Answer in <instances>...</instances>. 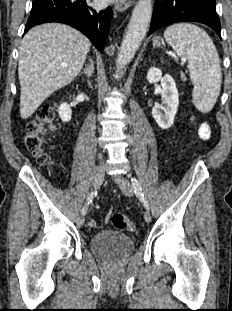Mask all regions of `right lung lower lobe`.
Masks as SVG:
<instances>
[{"instance_id":"obj_1","label":"right lung lower lobe","mask_w":232,"mask_h":311,"mask_svg":"<svg viewBox=\"0 0 232 311\" xmlns=\"http://www.w3.org/2000/svg\"><path fill=\"white\" fill-rule=\"evenodd\" d=\"M111 18L110 7L104 11H96L85 0H33L24 32L42 23H65L85 34L103 52Z\"/></svg>"}]
</instances>
